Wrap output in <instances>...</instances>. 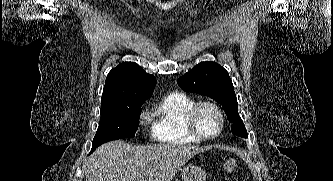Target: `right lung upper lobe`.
<instances>
[{
	"label": "right lung upper lobe",
	"instance_id": "right-lung-upper-lobe-1",
	"mask_svg": "<svg viewBox=\"0 0 333 181\" xmlns=\"http://www.w3.org/2000/svg\"><path fill=\"white\" fill-rule=\"evenodd\" d=\"M156 78L146 73L138 64L125 62L113 68L107 75L101 110L135 102H145L152 96Z\"/></svg>",
	"mask_w": 333,
	"mask_h": 181
}]
</instances>
